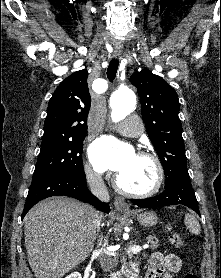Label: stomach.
<instances>
[{"instance_id": "obj_1", "label": "stomach", "mask_w": 221, "mask_h": 278, "mask_svg": "<svg viewBox=\"0 0 221 278\" xmlns=\"http://www.w3.org/2000/svg\"><path fill=\"white\" fill-rule=\"evenodd\" d=\"M131 215L135 216L138 222L145 227H152L156 225L158 217L153 211L147 212H131Z\"/></svg>"}]
</instances>
